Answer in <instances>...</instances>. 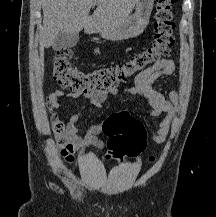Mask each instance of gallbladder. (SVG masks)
I'll return each mask as SVG.
<instances>
[{"mask_svg":"<svg viewBox=\"0 0 216 217\" xmlns=\"http://www.w3.org/2000/svg\"><path fill=\"white\" fill-rule=\"evenodd\" d=\"M79 41V34L78 33H67V32H60L53 44V49L55 51H60L63 49L72 48L77 45Z\"/></svg>","mask_w":216,"mask_h":217,"instance_id":"bac80fb5","label":"gallbladder"}]
</instances>
